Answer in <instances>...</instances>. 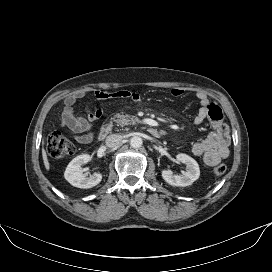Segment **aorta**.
I'll return each instance as SVG.
<instances>
[{
  "mask_svg": "<svg viewBox=\"0 0 272 272\" xmlns=\"http://www.w3.org/2000/svg\"><path fill=\"white\" fill-rule=\"evenodd\" d=\"M142 143H143L142 138L139 136H133L130 139V145L133 148H140L142 146Z\"/></svg>",
  "mask_w": 272,
  "mask_h": 272,
  "instance_id": "1",
  "label": "aorta"
}]
</instances>
